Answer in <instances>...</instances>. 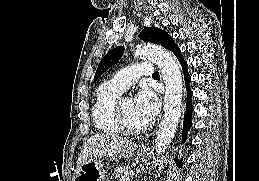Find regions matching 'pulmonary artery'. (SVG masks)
<instances>
[{
	"mask_svg": "<svg viewBox=\"0 0 259 181\" xmlns=\"http://www.w3.org/2000/svg\"><path fill=\"white\" fill-rule=\"evenodd\" d=\"M153 74L154 67L152 63L137 62L136 64L124 68L123 70L115 74L109 82L122 90H126L140 77L152 76Z\"/></svg>",
	"mask_w": 259,
	"mask_h": 181,
	"instance_id": "obj_1",
	"label": "pulmonary artery"
}]
</instances>
